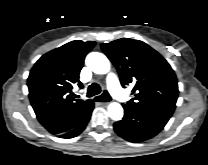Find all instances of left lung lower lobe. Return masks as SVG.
<instances>
[{
	"label": "left lung lower lobe",
	"instance_id": "1",
	"mask_svg": "<svg viewBox=\"0 0 208 165\" xmlns=\"http://www.w3.org/2000/svg\"><path fill=\"white\" fill-rule=\"evenodd\" d=\"M125 115L121 121L114 123L115 132L130 142H142L154 137L166 125L171 115L139 111L123 105Z\"/></svg>",
	"mask_w": 208,
	"mask_h": 165
}]
</instances>
